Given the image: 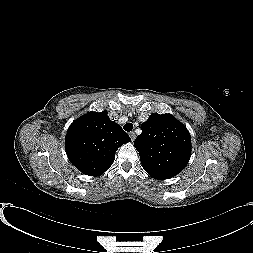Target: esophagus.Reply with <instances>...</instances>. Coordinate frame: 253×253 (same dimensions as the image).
I'll return each mask as SVG.
<instances>
[{
  "mask_svg": "<svg viewBox=\"0 0 253 253\" xmlns=\"http://www.w3.org/2000/svg\"><path fill=\"white\" fill-rule=\"evenodd\" d=\"M129 136H130V138H131V140H132V142L134 141V139H135V137H136V135H135V132H130L129 133Z\"/></svg>",
  "mask_w": 253,
  "mask_h": 253,
  "instance_id": "1",
  "label": "esophagus"
}]
</instances>
